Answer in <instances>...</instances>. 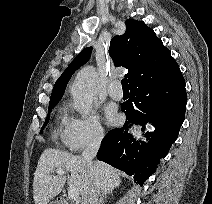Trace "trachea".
Instances as JSON below:
<instances>
[{
  "label": "trachea",
  "mask_w": 212,
  "mask_h": 204,
  "mask_svg": "<svg viewBox=\"0 0 212 204\" xmlns=\"http://www.w3.org/2000/svg\"><path fill=\"white\" fill-rule=\"evenodd\" d=\"M121 84H122V89L123 90H128V82H127V79L124 78L122 81H121Z\"/></svg>",
  "instance_id": "trachea-1"
}]
</instances>
